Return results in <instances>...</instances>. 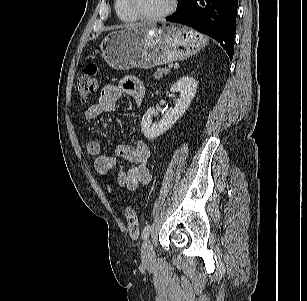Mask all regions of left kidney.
<instances>
[{"label":"left kidney","instance_id":"obj_1","mask_svg":"<svg viewBox=\"0 0 307 301\" xmlns=\"http://www.w3.org/2000/svg\"><path fill=\"white\" fill-rule=\"evenodd\" d=\"M197 81L191 76H182L176 83L171 86L172 93H180L176 100L175 107L169 114L164 116L158 123L152 122L156 110L150 107L144 114L141 121V129L147 139H154L166 132L188 109L192 99L197 92Z\"/></svg>","mask_w":307,"mask_h":301}]
</instances>
